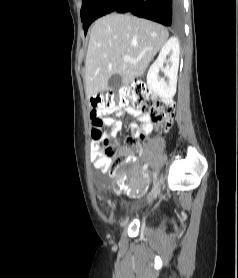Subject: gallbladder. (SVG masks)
I'll use <instances>...</instances> for the list:
<instances>
[{"instance_id":"bac80fb5","label":"gallbladder","mask_w":238,"mask_h":278,"mask_svg":"<svg viewBox=\"0 0 238 278\" xmlns=\"http://www.w3.org/2000/svg\"><path fill=\"white\" fill-rule=\"evenodd\" d=\"M122 84V78L120 75L115 74L109 78V85L112 88H118Z\"/></svg>"}]
</instances>
